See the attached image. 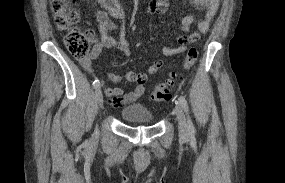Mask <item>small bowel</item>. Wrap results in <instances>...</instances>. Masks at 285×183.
Segmentation results:
<instances>
[{
  "mask_svg": "<svg viewBox=\"0 0 285 183\" xmlns=\"http://www.w3.org/2000/svg\"><path fill=\"white\" fill-rule=\"evenodd\" d=\"M195 7L205 9V15L201 19H197L194 15H185L180 21V28L184 32L177 38L178 47L173 48L164 46L162 53L166 57H173L187 50L188 45L198 41L199 33L208 31L210 23L214 18L220 0H188ZM99 6L94 12V16L98 22L100 32V41L96 43L88 58L81 61V66L89 73H93L92 62L96 60L103 50H118L130 56L133 53L132 46L125 37L124 25L119 26L114 20H124V9L119 0H96ZM168 0H152L147 8V13H165L168 9ZM196 27V32H190L192 27ZM163 66L161 59H155L145 72L128 71L125 79L134 83L135 88L130 92H126L119 82L122 77L120 75L110 73L108 79L115 86H107L105 81L101 80V86L108 98V103L114 107H122L135 102L145 93V83L149 75L156 74Z\"/></svg>",
  "mask_w": 285,
  "mask_h": 183,
  "instance_id": "obj_1",
  "label": "small bowel"
}]
</instances>
